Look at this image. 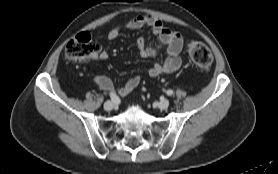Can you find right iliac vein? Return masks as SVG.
Segmentation results:
<instances>
[{"label": "right iliac vein", "mask_w": 278, "mask_h": 174, "mask_svg": "<svg viewBox=\"0 0 278 174\" xmlns=\"http://www.w3.org/2000/svg\"><path fill=\"white\" fill-rule=\"evenodd\" d=\"M114 108V104L111 101H106L104 103V109L106 111H111Z\"/></svg>", "instance_id": "obj_1"}]
</instances>
